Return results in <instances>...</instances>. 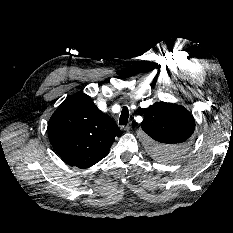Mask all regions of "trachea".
Here are the masks:
<instances>
[{
	"instance_id": "obj_1",
	"label": "trachea",
	"mask_w": 233,
	"mask_h": 233,
	"mask_svg": "<svg viewBox=\"0 0 233 233\" xmlns=\"http://www.w3.org/2000/svg\"><path fill=\"white\" fill-rule=\"evenodd\" d=\"M128 118H129V110L126 106H124L121 111L119 124L122 126L127 125Z\"/></svg>"
}]
</instances>
